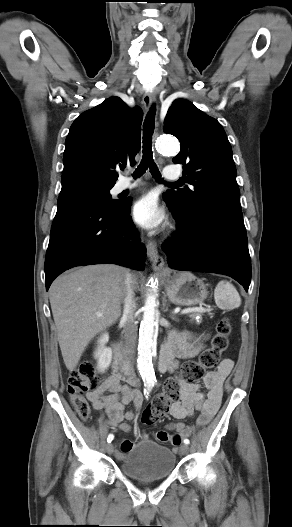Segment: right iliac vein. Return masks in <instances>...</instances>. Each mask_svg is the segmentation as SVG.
I'll return each mask as SVG.
<instances>
[{
    "label": "right iliac vein",
    "mask_w": 292,
    "mask_h": 527,
    "mask_svg": "<svg viewBox=\"0 0 292 527\" xmlns=\"http://www.w3.org/2000/svg\"><path fill=\"white\" fill-rule=\"evenodd\" d=\"M106 451H107L108 454H112L113 451H114L113 444L108 443V444L106 445Z\"/></svg>",
    "instance_id": "obj_1"
}]
</instances>
